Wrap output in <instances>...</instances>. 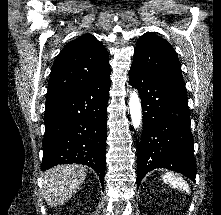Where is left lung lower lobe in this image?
<instances>
[{
	"label": "left lung lower lobe",
	"instance_id": "left-lung-lower-lobe-1",
	"mask_svg": "<svg viewBox=\"0 0 221 215\" xmlns=\"http://www.w3.org/2000/svg\"><path fill=\"white\" fill-rule=\"evenodd\" d=\"M129 80L139 91L143 111L137 185L155 168L173 170L195 181L196 162L185 87L134 65Z\"/></svg>",
	"mask_w": 221,
	"mask_h": 215
}]
</instances>
